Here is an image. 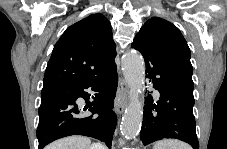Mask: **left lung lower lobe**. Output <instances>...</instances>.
<instances>
[{"label":"left lung lower lobe","instance_id":"1","mask_svg":"<svg viewBox=\"0 0 227 149\" xmlns=\"http://www.w3.org/2000/svg\"><path fill=\"white\" fill-rule=\"evenodd\" d=\"M131 47L143 55L146 77L160 93L157 101L151 94L145 98L140 139L148 145L163 138H175L199 149L193 115V84L170 66L145 34L137 33Z\"/></svg>","mask_w":227,"mask_h":149}]
</instances>
